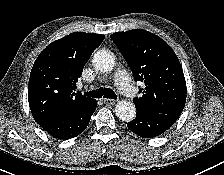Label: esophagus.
Wrapping results in <instances>:
<instances>
[{
    "label": "esophagus",
    "instance_id": "obj_1",
    "mask_svg": "<svg viewBox=\"0 0 224 175\" xmlns=\"http://www.w3.org/2000/svg\"><path fill=\"white\" fill-rule=\"evenodd\" d=\"M103 102L107 105H113L115 103V100L111 98H105L103 99Z\"/></svg>",
    "mask_w": 224,
    "mask_h": 175
}]
</instances>
